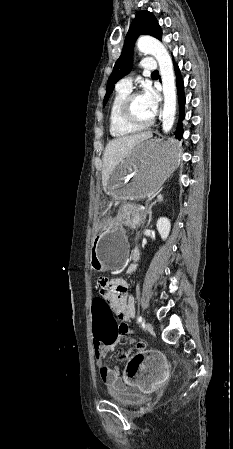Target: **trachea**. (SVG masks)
<instances>
[{"mask_svg": "<svg viewBox=\"0 0 233 449\" xmlns=\"http://www.w3.org/2000/svg\"><path fill=\"white\" fill-rule=\"evenodd\" d=\"M157 74H159L158 70H155L152 72V75H157Z\"/></svg>", "mask_w": 233, "mask_h": 449, "instance_id": "3493384b", "label": "trachea"}]
</instances>
